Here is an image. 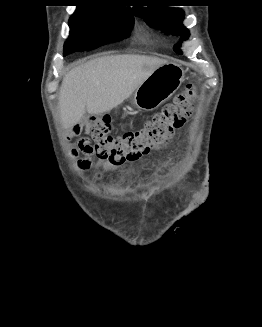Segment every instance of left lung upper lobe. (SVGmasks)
I'll return each mask as SVG.
<instances>
[{
  "mask_svg": "<svg viewBox=\"0 0 262 327\" xmlns=\"http://www.w3.org/2000/svg\"><path fill=\"white\" fill-rule=\"evenodd\" d=\"M133 11L134 15L143 18L150 26L159 28L166 34L180 35L181 42L189 37L188 29L182 25L184 12L180 9L151 5L144 9L135 7ZM181 42L174 46V51L178 54H181L179 49Z\"/></svg>",
  "mask_w": 262,
  "mask_h": 327,
  "instance_id": "obj_1",
  "label": "left lung upper lobe"
}]
</instances>
